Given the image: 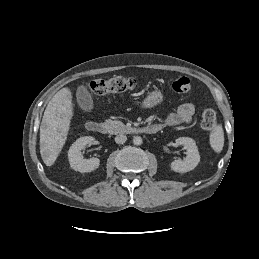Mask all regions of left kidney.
Here are the masks:
<instances>
[{
  "label": "left kidney",
  "mask_w": 259,
  "mask_h": 259,
  "mask_svg": "<svg viewBox=\"0 0 259 259\" xmlns=\"http://www.w3.org/2000/svg\"><path fill=\"white\" fill-rule=\"evenodd\" d=\"M175 142L177 145L184 146L187 155L184 160H174L170 165L171 169L179 173L193 170L200 162V155L195 141L189 137H180Z\"/></svg>",
  "instance_id": "left-kidney-1"
}]
</instances>
